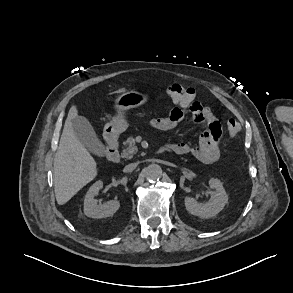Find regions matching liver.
Here are the masks:
<instances>
[{
    "instance_id": "liver-1",
    "label": "liver",
    "mask_w": 293,
    "mask_h": 293,
    "mask_svg": "<svg viewBox=\"0 0 293 293\" xmlns=\"http://www.w3.org/2000/svg\"><path fill=\"white\" fill-rule=\"evenodd\" d=\"M76 106L69 110L54 158V191L57 203H67L97 176V164L77 139L71 120L77 117Z\"/></svg>"
}]
</instances>
